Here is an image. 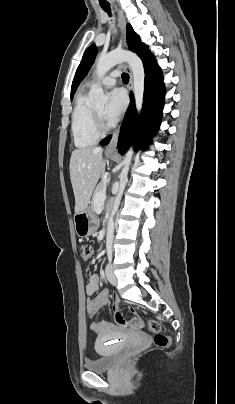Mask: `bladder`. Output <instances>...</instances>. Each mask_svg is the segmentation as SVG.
Listing matches in <instances>:
<instances>
[{"label":"bladder","instance_id":"31cf9c89","mask_svg":"<svg viewBox=\"0 0 235 404\" xmlns=\"http://www.w3.org/2000/svg\"><path fill=\"white\" fill-rule=\"evenodd\" d=\"M97 351L102 352L104 349L96 346ZM122 354V350L114 351L112 353L100 355L93 361L85 363V367L92 372H107L110 371L116 364L117 360Z\"/></svg>","mask_w":235,"mask_h":404}]
</instances>
